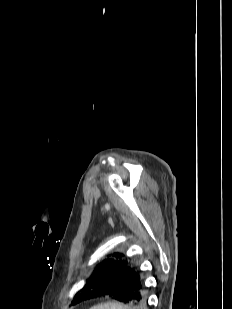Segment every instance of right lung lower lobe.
Segmentation results:
<instances>
[{
    "instance_id": "98d812e1",
    "label": "right lung lower lobe",
    "mask_w": 232,
    "mask_h": 309,
    "mask_svg": "<svg viewBox=\"0 0 232 309\" xmlns=\"http://www.w3.org/2000/svg\"><path fill=\"white\" fill-rule=\"evenodd\" d=\"M116 271L121 274H131L132 277L119 279L113 284L90 288L87 291V299L109 295L120 302L132 305L134 309H145L147 306L146 288L139 271L126 264L120 265Z\"/></svg>"
}]
</instances>
